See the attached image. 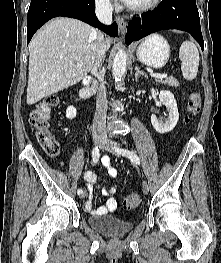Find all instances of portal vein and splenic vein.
<instances>
[{
  "instance_id": "obj_1",
  "label": "portal vein and splenic vein",
  "mask_w": 221,
  "mask_h": 263,
  "mask_svg": "<svg viewBox=\"0 0 221 263\" xmlns=\"http://www.w3.org/2000/svg\"><path fill=\"white\" fill-rule=\"evenodd\" d=\"M151 76L154 77V78H158V79H163V78H166L167 77V74L166 73H151Z\"/></svg>"
}]
</instances>
